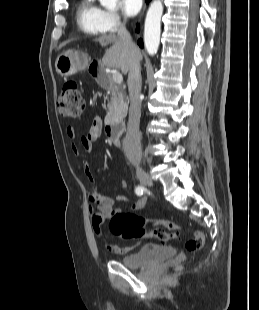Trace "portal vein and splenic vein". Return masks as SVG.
Returning a JSON list of instances; mask_svg holds the SVG:
<instances>
[{
    "instance_id": "18ae733b",
    "label": "portal vein and splenic vein",
    "mask_w": 259,
    "mask_h": 310,
    "mask_svg": "<svg viewBox=\"0 0 259 310\" xmlns=\"http://www.w3.org/2000/svg\"><path fill=\"white\" fill-rule=\"evenodd\" d=\"M112 79L117 84H121L123 82V77L120 73H114L112 75Z\"/></svg>"
}]
</instances>
